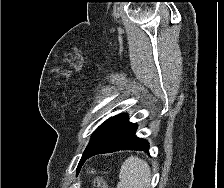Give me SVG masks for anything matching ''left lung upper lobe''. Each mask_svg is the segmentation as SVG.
Here are the masks:
<instances>
[{
	"label": "left lung upper lobe",
	"instance_id": "5c2ea615",
	"mask_svg": "<svg viewBox=\"0 0 224 188\" xmlns=\"http://www.w3.org/2000/svg\"><path fill=\"white\" fill-rule=\"evenodd\" d=\"M120 116L121 115H118L108 119L96 129L83 155L87 153L88 151L92 150L99 143L102 137L113 127V125L115 124V122L118 120Z\"/></svg>",
	"mask_w": 224,
	"mask_h": 188
}]
</instances>
